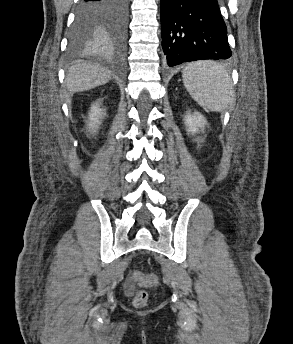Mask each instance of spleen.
Wrapping results in <instances>:
<instances>
[{
	"label": "spleen",
	"instance_id": "1",
	"mask_svg": "<svg viewBox=\"0 0 293 344\" xmlns=\"http://www.w3.org/2000/svg\"><path fill=\"white\" fill-rule=\"evenodd\" d=\"M185 88L193 99L211 111H223L232 96V80L226 68L212 61L189 64L182 71Z\"/></svg>",
	"mask_w": 293,
	"mask_h": 344
}]
</instances>
